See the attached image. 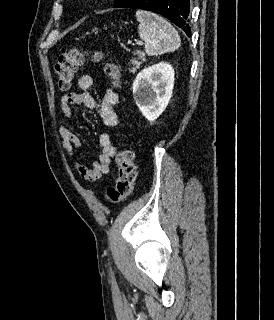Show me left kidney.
Listing matches in <instances>:
<instances>
[{
  "label": "left kidney",
  "instance_id": "obj_1",
  "mask_svg": "<svg viewBox=\"0 0 274 320\" xmlns=\"http://www.w3.org/2000/svg\"><path fill=\"white\" fill-rule=\"evenodd\" d=\"M174 68L160 62L139 72L133 82V98L143 116L155 122L172 96L174 88Z\"/></svg>",
  "mask_w": 274,
  "mask_h": 320
}]
</instances>
